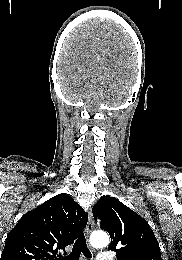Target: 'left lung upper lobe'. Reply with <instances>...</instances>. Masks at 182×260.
<instances>
[{"instance_id": "obj_1", "label": "left lung upper lobe", "mask_w": 182, "mask_h": 260, "mask_svg": "<svg viewBox=\"0 0 182 260\" xmlns=\"http://www.w3.org/2000/svg\"><path fill=\"white\" fill-rule=\"evenodd\" d=\"M92 212L109 233V249L117 253V260H162L159 243L148 223L118 199L103 196Z\"/></svg>"}]
</instances>
